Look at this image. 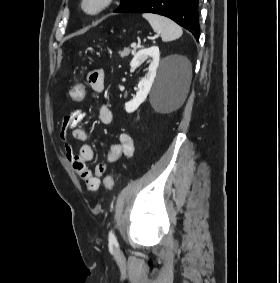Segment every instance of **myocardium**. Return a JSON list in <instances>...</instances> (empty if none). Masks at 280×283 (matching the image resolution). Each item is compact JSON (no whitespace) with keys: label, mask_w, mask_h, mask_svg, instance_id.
I'll use <instances>...</instances> for the list:
<instances>
[{"label":"myocardium","mask_w":280,"mask_h":283,"mask_svg":"<svg viewBox=\"0 0 280 283\" xmlns=\"http://www.w3.org/2000/svg\"><path fill=\"white\" fill-rule=\"evenodd\" d=\"M114 0H81V10L89 16L98 15L111 7Z\"/></svg>","instance_id":"obj_1"}]
</instances>
